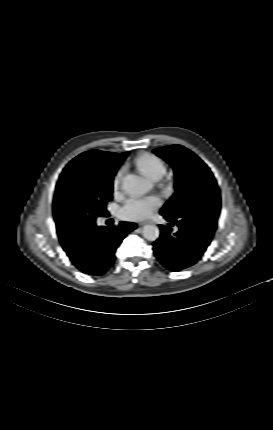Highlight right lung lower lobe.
<instances>
[{"instance_id": "1", "label": "right lung lower lobe", "mask_w": 273, "mask_h": 430, "mask_svg": "<svg viewBox=\"0 0 273 430\" xmlns=\"http://www.w3.org/2000/svg\"><path fill=\"white\" fill-rule=\"evenodd\" d=\"M136 227V224L131 222H120L119 226L107 229L94 222L75 237L62 242V247L80 271L101 276L113 266L116 249Z\"/></svg>"}]
</instances>
